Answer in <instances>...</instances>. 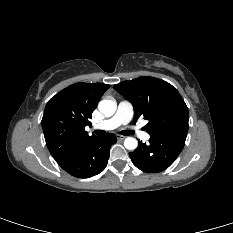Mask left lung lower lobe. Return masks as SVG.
Instances as JSON below:
<instances>
[{"label": "left lung lower lobe", "instance_id": "obj_1", "mask_svg": "<svg viewBox=\"0 0 233 233\" xmlns=\"http://www.w3.org/2000/svg\"><path fill=\"white\" fill-rule=\"evenodd\" d=\"M185 140L186 137L181 136L150 138L149 144L139 142L129 156L138 169L148 173L161 172L176 160Z\"/></svg>", "mask_w": 233, "mask_h": 233}]
</instances>
